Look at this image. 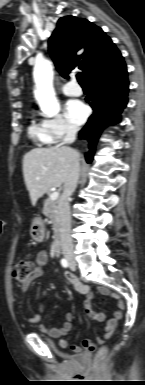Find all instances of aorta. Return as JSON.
<instances>
[{
	"instance_id": "1",
	"label": "aorta",
	"mask_w": 145,
	"mask_h": 385,
	"mask_svg": "<svg viewBox=\"0 0 145 385\" xmlns=\"http://www.w3.org/2000/svg\"><path fill=\"white\" fill-rule=\"evenodd\" d=\"M53 76V66L49 60H41L35 64L33 70L34 96L41 111L47 117H53L60 111V104L55 96Z\"/></svg>"
}]
</instances>
